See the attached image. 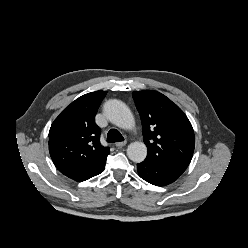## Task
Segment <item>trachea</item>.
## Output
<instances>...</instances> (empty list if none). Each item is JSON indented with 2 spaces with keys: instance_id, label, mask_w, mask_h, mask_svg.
Wrapping results in <instances>:
<instances>
[{
  "instance_id": "1",
  "label": "trachea",
  "mask_w": 248,
  "mask_h": 248,
  "mask_svg": "<svg viewBox=\"0 0 248 248\" xmlns=\"http://www.w3.org/2000/svg\"><path fill=\"white\" fill-rule=\"evenodd\" d=\"M107 141L110 143L124 141L122 134L117 129H111L107 134Z\"/></svg>"
}]
</instances>
